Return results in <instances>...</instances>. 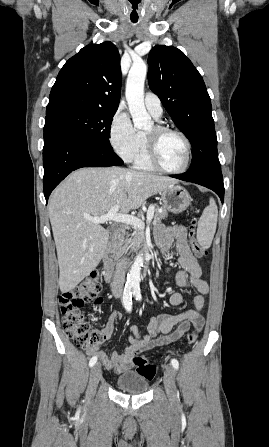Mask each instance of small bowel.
I'll return each instance as SVG.
<instances>
[{"mask_svg": "<svg viewBox=\"0 0 269 447\" xmlns=\"http://www.w3.org/2000/svg\"><path fill=\"white\" fill-rule=\"evenodd\" d=\"M154 237L159 248L165 252L174 243V254L178 257L181 270L177 271L174 276L175 283L184 288H194L197 294L193 298V308L182 313L171 315L162 314L159 317H152L147 326V335H141L136 326L129 329L130 345L122 354L116 352L110 356L100 353L99 357L104 365L116 372H124L130 368L132 356L146 348H154L167 345L178 340L193 324L197 328H201L204 324L201 311L205 304V295L209 291L208 284L202 279L203 270L192 254L187 243V231L184 226H175L166 228L164 225H158L154 232ZM183 295L174 292L169 297L171 306H180L183 303ZM101 301V300H100ZM120 318V313L113 310L108 317L107 322L100 328L99 333L103 341H107L112 337L114 325ZM177 328L174 329V327ZM91 355H96L97 350H89Z\"/></svg>", "mask_w": 269, "mask_h": 447, "instance_id": "c3829d8e", "label": "small bowel"}]
</instances>
